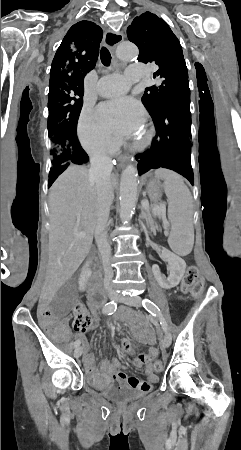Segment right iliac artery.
I'll use <instances>...</instances> for the list:
<instances>
[{
    "mask_svg": "<svg viewBox=\"0 0 241 450\" xmlns=\"http://www.w3.org/2000/svg\"><path fill=\"white\" fill-rule=\"evenodd\" d=\"M116 308H117V303L114 301H111V302H108L107 304H105L102 312L104 314L111 315L116 311ZM79 345H80V340H76L74 342V348L78 347Z\"/></svg>",
    "mask_w": 241,
    "mask_h": 450,
    "instance_id": "right-iliac-artery-1",
    "label": "right iliac artery"
}]
</instances>
